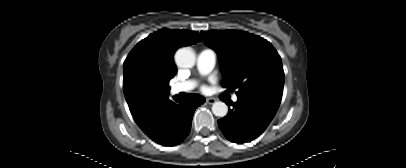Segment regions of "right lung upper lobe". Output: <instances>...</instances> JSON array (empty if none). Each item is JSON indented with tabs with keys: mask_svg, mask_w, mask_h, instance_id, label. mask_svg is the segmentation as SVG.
<instances>
[{
	"mask_svg": "<svg viewBox=\"0 0 406 168\" xmlns=\"http://www.w3.org/2000/svg\"><path fill=\"white\" fill-rule=\"evenodd\" d=\"M200 40L198 32L161 29L132 49L124 62L123 90L133 117L153 105L151 91L167 87L176 74L175 51Z\"/></svg>",
	"mask_w": 406,
	"mask_h": 168,
	"instance_id": "obj_1",
	"label": "right lung upper lobe"
}]
</instances>
